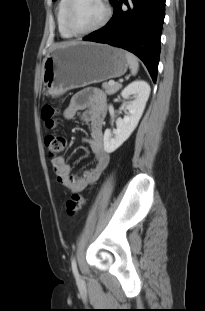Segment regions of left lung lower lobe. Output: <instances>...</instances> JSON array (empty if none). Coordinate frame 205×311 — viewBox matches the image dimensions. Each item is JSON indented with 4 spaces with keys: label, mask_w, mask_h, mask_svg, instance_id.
<instances>
[{
    "label": "left lung lower lobe",
    "mask_w": 205,
    "mask_h": 311,
    "mask_svg": "<svg viewBox=\"0 0 205 311\" xmlns=\"http://www.w3.org/2000/svg\"><path fill=\"white\" fill-rule=\"evenodd\" d=\"M124 3L128 9H122ZM107 25L84 40L123 48L138 56L156 82L165 0H114Z\"/></svg>",
    "instance_id": "left-lung-lower-lobe-1"
}]
</instances>
